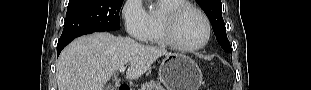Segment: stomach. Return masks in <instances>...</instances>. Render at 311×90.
<instances>
[{
  "label": "stomach",
  "instance_id": "1",
  "mask_svg": "<svg viewBox=\"0 0 311 90\" xmlns=\"http://www.w3.org/2000/svg\"><path fill=\"white\" fill-rule=\"evenodd\" d=\"M158 74L167 90H198L202 83L200 68L184 54L167 55L160 63Z\"/></svg>",
  "mask_w": 311,
  "mask_h": 90
}]
</instances>
